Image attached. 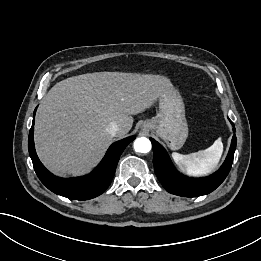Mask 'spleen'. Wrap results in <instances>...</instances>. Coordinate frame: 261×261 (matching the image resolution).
Listing matches in <instances>:
<instances>
[{
	"instance_id": "1",
	"label": "spleen",
	"mask_w": 261,
	"mask_h": 261,
	"mask_svg": "<svg viewBox=\"0 0 261 261\" xmlns=\"http://www.w3.org/2000/svg\"><path fill=\"white\" fill-rule=\"evenodd\" d=\"M222 152L223 143L221 138H218L205 150L187 155L173 152L172 158L182 171L189 175L202 176L211 173L216 168Z\"/></svg>"
}]
</instances>
